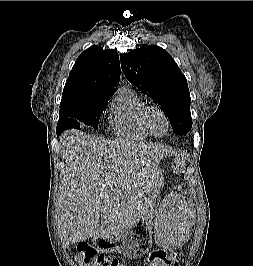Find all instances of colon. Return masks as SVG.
Here are the masks:
<instances>
[{
    "instance_id": "colon-1",
    "label": "colon",
    "mask_w": 253,
    "mask_h": 266,
    "mask_svg": "<svg viewBox=\"0 0 253 266\" xmlns=\"http://www.w3.org/2000/svg\"><path fill=\"white\" fill-rule=\"evenodd\" d=\"M74 257L81 266H127L120 260L105 256L92 245L78 241L74 243ZM148 266H179L175 254L155 250L149 254Z\"/></svg>"
}]
</instances>
